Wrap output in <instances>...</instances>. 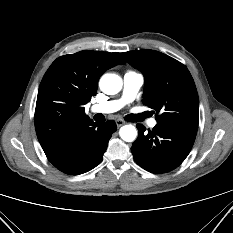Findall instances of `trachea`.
<instances>
[{
  "label": "trachea",
  "instance_id": "trachea-1",
  "mask_svg": "<svg viewBox=\"0 0 233 233\" xmlns=\"http://www.w3.org/2000/svg\"><path fill=\"white\" fill-rule=\"evenodd\" d=\"M150 116L149 112H144L142 114H130L126 116V120L129 122H141L143 121V119L147 118ZM94 119L96 121H101L102 120V116L100 114L95 115Z\"/></svg>",
  "mask_w": 233,
  "mask_h": 233
}]
</instances>
